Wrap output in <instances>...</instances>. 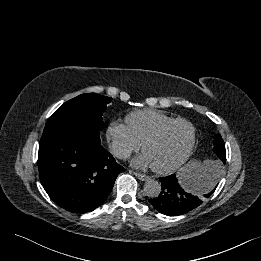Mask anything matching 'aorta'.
Returning <instances> with one entry per match:
<instances>
[{
    "mask_svg": "<svg viewBox=\"0 0 261 261\" xmlns=\"http://www.w3.org/2000/svg\"><path fill=\"white\" fill-rule=\"evenodd\" d=\"M144 192L148 197H158L161 192L160 182L154 179H148L144 184Z\"/></svg>",
    "mask_w": 261,
    "mask_h": 261,
    "instance_id": "aorta-1",
    "label": "aorta"
}]
</instances>
